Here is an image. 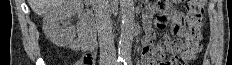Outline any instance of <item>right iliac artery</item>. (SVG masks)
<instances>
[{
    "instance_id": "right-iliac-artery-1",
    "label": "right iliac artery",
    "mask_w": 232,
    "mask_h": 65,
    "mask_svg": "<svg viewBox=\"0 0 232 65\" xmlns=\"http://www.w3.org/2000/svg\"><path fill=\"white\" fill-rule=\"evenodd\" d=\"M123 61H124L123 58L119 57L118 60H117V63L120 64V63H122Z\"/></svg>"
}]
</instances>
